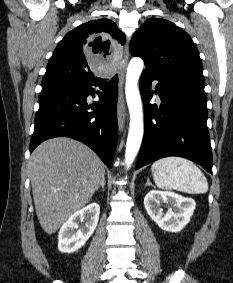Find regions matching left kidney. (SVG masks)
I'll list each match as a JSON object with an SVG mask.
<instances>
[{"instance_id":"5707ae66","label":"left kidney","mask_w":233,"mask_h":283,"mask_svg":"<svg viewBox=\"0 0 233 283\" xmlns=\"http://www.w3.org/2000/svg\"><path fill=\"white\" fill-rule=\"evenodd\" d=\"M161 203H169L172 208L164 213ZM144 206L150 218L162 230L180 232L189 223L196 203L191 198L173 192L152 190L145 196Z\"/></svg>"}]
</instances>
